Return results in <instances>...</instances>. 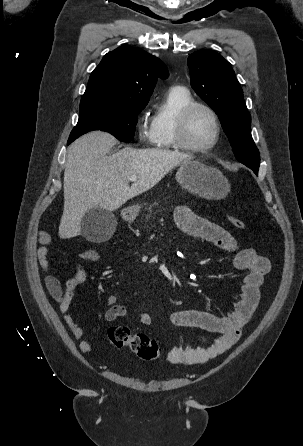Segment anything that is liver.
Returning a JSON list of instances; mask_svg holds the SVG:
<instances>
[{
	"label": "liver",
	"instance_id": "6515ba94",
	"mask_svg": "<svg viewBox=\"0 0 303 446\" xmlns=\"http://www.w3.org/2000/svg\"><path fill=\"white\" fill-rule=\"evenodd\" d=\"M115 144L112 135L94 131L70 146L64 170L60 238L78 236L82 218L88 210L101 207L112 212L154 187L177 165L192 159L190 155L175 151L131 147L107 156ZM133 175L138 179L129 186L128 178Z\"/></svg>",
	"mask_w": 303,
	"mask_h": 446
}]
</instances>
